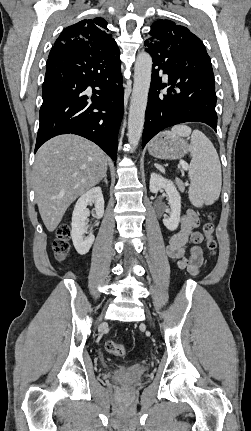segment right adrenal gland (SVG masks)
Instances as JSON below:
<instances>
[{
  "instance_id": "obj_1",
  "label": "right adrenal gland",
  "mask_w": 251,
  "mask_h": 431,
  "mask_svg": "<svg viewBox=\"0 0 251 431\" xmlns=\"http://www.w3.org/2000/svg\"><path fill=\"white\" fill-rule=\"evenodd\" d=\"M102 182H105V184L108 185L107 174L104 176V179L102 180Z\"/></svg>"
}]
</instances>
